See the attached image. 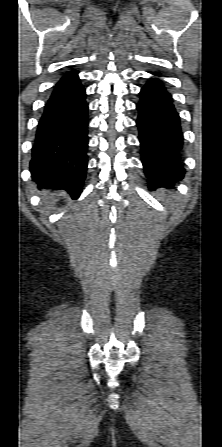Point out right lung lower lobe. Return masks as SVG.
Returning a JSON list of instances; mask_svg holds the SVG:
<instances>
[{"instance_id": "98d812e1", "label": "right lung lower lobe", "mask_w": 222, "mask_h": 447, "mask_svg": "<svg viewBox=\"0 0 222 447\" xmlns=\"http://www.w3.org/2000/svg\"><path fill=\"white\" fill-rule=\"evenodd\" d=\"M88 104L75 71L65 73L37 126L30 170L42 188L65 189L77 199L87 170Z\"/></svg>"}]
</instances>
